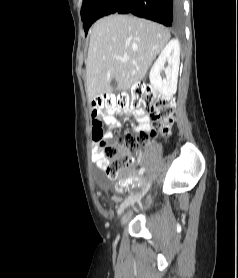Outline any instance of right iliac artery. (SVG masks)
I'll return each mask as SVG.
<instances>
[{
    "label": "right iliac artery",
    "instance_id": "1",
    "mask_svg": "<svg viewBox=\"0 0 238 278\" xmlns=\"http://www.w3.org/2000/svg\"><path fill=\"white\" fill-rule=\"evenodd\" d=\"M144 171H145V168H144V167L141 168V169L139 170V172H138V175H142Z\"/></svg>",
    "mask_w": 238,
    "mask_h": 278
}]
</instances>
